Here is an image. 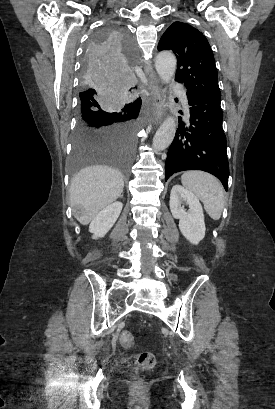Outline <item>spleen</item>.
I'll return each instance as SVG.
<instances>
[{"instance_id": "3e777b00", "label": "spleen", "mask_w": 275, "mask_h": 409, "mask_svg": "<svg viewBox=\"0 0 275 409\" xmlns=\"http://www.w3.org/2000/svg\"><path fill=\"white\" fill-rule=\"evenodd\" d=\"M183 186L202 200L204 209L211 219L219 221L224 209V190L221 182L203 170H188L181 176Z\"/></svg>"}]
</instances>
